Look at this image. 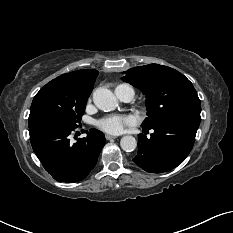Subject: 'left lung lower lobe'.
I'll return each instance as SVG.
<instances>
[{"instance_id":"1","label":"left lung lower lobe","mask_w":233,"mask_h":233,"mask_svg":"<svg viewBox=\"0 0 233 233\" xmlns=\"http://www.w3.org/2000/svg\"><path fill=\"white\" fill-rule=\"evenodd\" d=\"M200 122L191 119H169L143 127L153 129L148 139L140 134L138 153L133 161L150 173H162L180 165L190 153Z\"/></svg>"}]
</instances>
